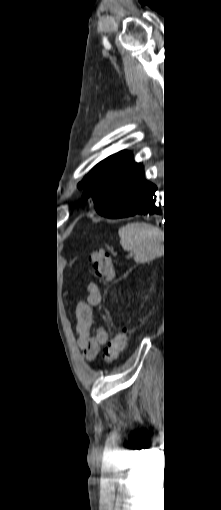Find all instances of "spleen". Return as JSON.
<instances>
[{"label": "spleen", "mask_w": 221, "mask_h": 510, "mask_svg": "<svg viewBox=\"0 0 221 510\" xmlns=\"http://www.w3.org/2000/svg\"><path fill=\"white\" fill-rule=\"evenodd\" d=\"M124 250L134 253L136 262L143 263L163 251V232L147 223H128L118 231Z\"/></svg>", "instance_id": "1"}]
</instances>
